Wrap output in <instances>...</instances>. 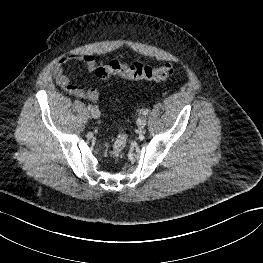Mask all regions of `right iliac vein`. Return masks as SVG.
Here are the masks:
<instances>
[{
  "label": "right iliac vein",
  "mask_w": 263,
  "mask_h": 263,
  "mask_svg": "<svg viewBox=\"0 0 263 263\" xmlns=\"http://www.w3.org/2000/svg\"><path fill=\"white\" fill-rule=\"evenodd\" d=\"M91 116L94 119H98L100 117V111L96 108H94L93 110H91Z\"/></svg>",
  "instance_id": "obj_1"
}]
</instances>
